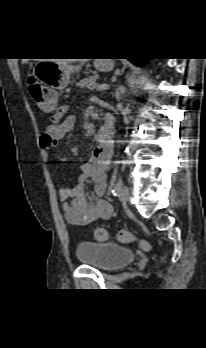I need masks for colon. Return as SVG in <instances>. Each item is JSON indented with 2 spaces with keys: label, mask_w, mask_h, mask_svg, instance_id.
Returning <instances> with one entry per match:
<instances>
[{
  "label": "colon",
  "mask_w": 206,
  "mask_h": 348,
  "mask_svg": "<svg viewBox=\"0 0 206 348\" xmlns=\"http://www.w3.org/2000/svg\"><path fill=\"white\" fill-rule=\"evenodd\" d=\"M27 89L30 96L34 99L38 107H44L40 102L39 97L42 94L41 84L34 78L30 77L27 81ZM57 118V117H56ZM56 118L54 120H56ZM95 239L99 242H104L108 240V232L103 228H96L93 232ZM117 238L122 243H133L137 240V237L130 231H120ZM143 249H149V244L147 242H141Z\"/></svg>",
  "instance_id": "obj_1"
}]
</instances>
